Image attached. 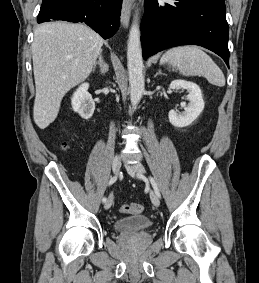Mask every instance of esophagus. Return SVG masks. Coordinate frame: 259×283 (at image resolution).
<instances>
[{"mask_svg":"<svg viewBox=\"0 0 259 283\" xmlns=\"http://www.w3.org/2000/svg\"><path fill=\"white\" fill-rule=\"evenodd\" d=\"M131 2L124 0L121 10V24L127 28L130 21Z\"/></svg>","mask_w":259,"mask_h":283,"instance_id":"34e87169","label":"esophagus"}]
</instances>
